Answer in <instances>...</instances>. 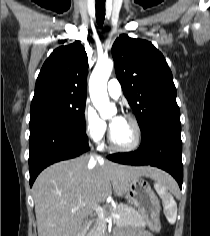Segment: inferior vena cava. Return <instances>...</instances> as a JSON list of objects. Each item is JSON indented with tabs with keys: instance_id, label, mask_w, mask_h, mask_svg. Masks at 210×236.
I'll use <instances>...</instances> for the list:
<instances>
[{
	"instance_id": "inferior-vena-cava-1",
	"label": "inferior vena cava",
	"mask_w": 210,
	"mask_h": 236,
	"mask_svg": "<svg viewBox=\"0 0 210 236\" xmlns=\"http://www.w3.org/2000/svg\"><path fill=\"white\" fill-rule=\"evenodd\" d=\"M91 160H94V155L92 153H90V155L88 156Z\"/></svg>"
}]
</instances>
